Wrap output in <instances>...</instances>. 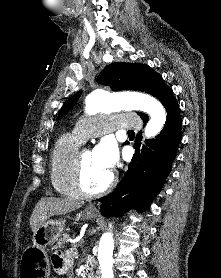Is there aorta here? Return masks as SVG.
Returning a JSON list of instances; mask_svg holds the SVG:
<instances>
[{
	"label": "aorta",
	"mask_w": 221,
	"mask_h": 278,
	"mask_svg": "<svg viewBox=\"0 0 221 278\" xmlns=\"http://www.w3.org/2000/svg\"><path fill=\"white\" fill-rule=\"evenodd\" d=\"M85 103V112L88 115L119 109H133L147 113L150 120L145 127L146 138L156 136L166 122V112L162 104L145 94L133 93L126 97L116 98L103 90H95L86 97ZM113 250V234L111 232L104 233L98 247L101 278H114L112 270Z\"/></svg>",
	"instance_id": "762f6f07"
}]
</instances>
